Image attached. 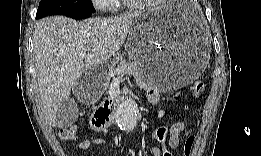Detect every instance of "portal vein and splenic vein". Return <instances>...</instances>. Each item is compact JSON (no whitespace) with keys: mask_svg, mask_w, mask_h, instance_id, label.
Instances as JSON below:
<instances>
[{"mask_svg":"<svg viewBox=\"0 0 261 156\" xmlns=\"http://www.w3.org/2000/svg\"><path fill=\"white\" fill-rule=\"evenodd\" d=\"M84 57H85V54L79 55V58H80V59H83Z\"/></svg>","mask_w":261,"mask_h":156,"instance_id":"portal-vein-and-splenic-vein-1","label":"portal vein and splenic vein"}]
</instances>
